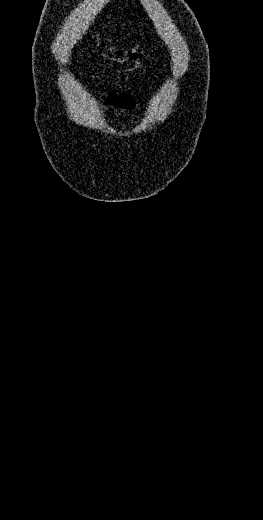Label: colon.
<instances>
[{
    "label": "colon",
    "mask_w": 263,
    "mask_h": 520,
    "mask_svg": "<svg viewBox=\"0 0 263 520\" xmlns=\"http://www.w3.org/2000/svg\"><path fill=\"white\" fill-rule=\"evenodd\" d=\"M132 58H136L137 57V54L136 53H133L131 54Z\"/></svg>",
    "instance_id": "obj_1"
}]
</instances>
